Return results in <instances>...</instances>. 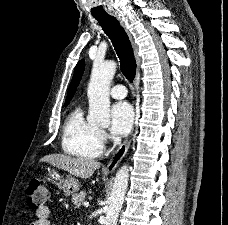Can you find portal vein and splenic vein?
I'll list each match as a JSON object with an SVG mask.
<instances>
[{
    "instance_id": "portal-vein-and-splenic-vein-1",
    "label": "portal vein and splenic vein",
    "mask_w": 228,
    "mask_h": 225,
    "mask_svg": "<svg viewBox=\"0 0 228 225\" xmlns=\"http://www.w3.org/2000/svg\"><path fill=\"white\" fill-rule=\"evenodd\" d=\"M84 207H89V203H83Z\"/></svg>"
}]
</instances>
